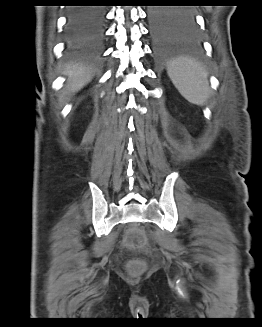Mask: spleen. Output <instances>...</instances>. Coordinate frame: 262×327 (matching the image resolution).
<instances>
[{"mask_svg": "<svg viewBox=\"0 0 262 327\" xmlns=\"http://www.w3.org/2000/svg\"><path fill=\"white\" fill-rule=\"evenodd\" d=\"M167 73L187 101L200 105L208 99L210 88L207 73L198 62L178 58L168 65Z\"/></svg>", "mask_w": 262, "mask_h": 327, "instance_id": "spleen-1", "label": "spleen"}]
</instances>
